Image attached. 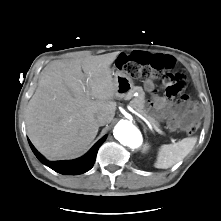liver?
<instances>
[{
    "instance_id": "6515ba94",
    "label": "liver",
    "mask_w": 221,
    "mask_h": 221,
    "mask_svg": "<svg viewBox=\"0 0 221 221\" xmlns=\"http://www.w3.org/2000/svg\"><path fill=\"white\" fill-rule=\"evenodd\" d=\"M118 54L54 61L43 70L27 106L26 127L46 157H75L95 139L97 115L106 117L107 123L113 120L118 93L110 66Z\"/></svg>"
}]
</instances>
